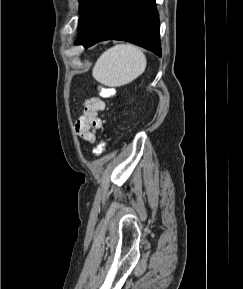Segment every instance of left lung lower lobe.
I'll use <instances>...</instances> for the list:
<instances>
[{
    "mask_svg": "<svg viewBox=\"0 0 243 289\" xmlns=\"http://www.w3.org/2000/svg\"><path fill=\"white\" fill-rule=\"evenodd\" d=\"M76 45L89 47L109 39L124 40L161 57L155 0H90L80 12Z\"/></svg>",
    "mask_w": 243,
    "mask_h": 289,
    "instance_id": "left-lung-lower-lobe-1",
    "label": "left lung lower lobe"
}]
</instances>
